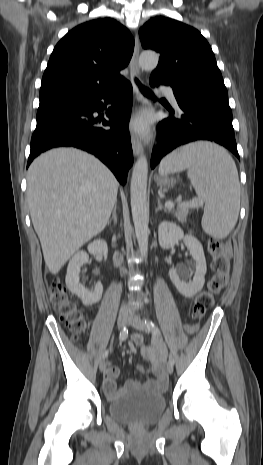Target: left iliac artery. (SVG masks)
Wrapping results in <instances>:
<instances>
[{
	"label": "left iliac artery",
	"instance_id": "left-iliac-artery-1",
	"mask_svg": "<svg viewBox=\"0 0 263 465\" xmlns=\"http://www.w3.org/2000/svg\"><path fill=\"white\" fill-rule=\"evenodd\" d=\"M144 321L147 325L149 332H151L153 336L159 337L161 335L159 328L151 320L144 317ZM169 362L171 364H174L175 361L172 356L169 357Z\"/></svg>",
	"mask_w": 263,
	"mask_h": 465
}]
</instances>
